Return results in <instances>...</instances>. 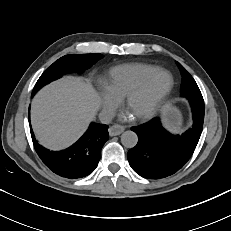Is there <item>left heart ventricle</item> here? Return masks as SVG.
<instances>
[{
	"label": "left heart ventricle",
	"mask_w": 231,
	"mask_h": 231,
	"mask_svg": "<svg viewBox=\"0 0 231 231\" xmlns=\"http://www.w3.org/2000/svg\"><path fill=\"white\" fill-rule=\"evenodd\" d=\"M169 83V77L165 74L160 75L147 89L136 95L128 105V111L133 115L149 109L160 97Z\"/></svg>",
	"instance_id": "left-heart-ventricle-1"
}]
</instances>
